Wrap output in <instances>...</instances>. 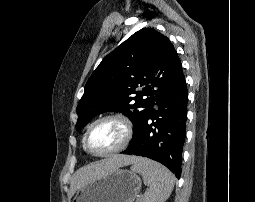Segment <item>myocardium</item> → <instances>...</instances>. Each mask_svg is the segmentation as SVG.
I'll use <instances>...</instances> for the list:
<instances>
[{
    "instance_id": "obj_1",
    "label": "myocardium",
    "mask_w": 255,
    "mask_h": 202,
    "mask_svg": "<svg viewBox=\"0 0 255 202\" xmlns=\"http://www.w3.org/2000/svg\"><path fill=\"white\" fill-rule=\"evenodd\" d=\"M105 121H116V122L120 123L121 126L123 127L124 135H123V139H122L121 143L117 147H115L114 149L107 151V152L98 153V152L93 151L90 148L89 136H90L91 131L97 125H99L100 123L105 122ZM133 134H134V126H133L132 121L127 116H125L121 113L108 114V115L100 117L99 119L94 121L89 126V128L87 129L85 136H84V147L90 154H92L94 156H98V157L110 156V155H113V154L118 153V152L122 151L123 149H125L131 142Z\"/></svg>"
}]
</instances>
